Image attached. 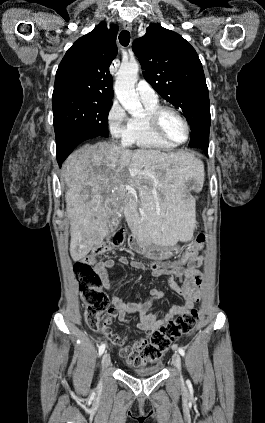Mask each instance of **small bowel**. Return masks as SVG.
I'll return each instance as SVG.
<instances>
[{
	"instance_id": "small-bowel-1",
	"label": "small bowel",
	"mask_w": 265,
	"mask_h": 423,
	"mask_svg": "<svg viewBox=\"0 0 265 423\" xmlns=\"http://www.w3.org/2000/svg\"><path fill=\"white\" fill-rule=\"evenodd\" d=\"M117 263L120 265L129 264L134 269H146L144 263L139 261L129 262L125 257L119 258ZM202 264L203 256L197 254L195 259L185 266H177L173 269H152L153 276H165L169 287L183 299L182 304L171 307L166 314L160 315L150 311L157 301L164 297L163 291L153 288L150 290V298L140 303L126 302L120 297L110 293L109 300L113 306V316L118 322L129 325L130 320L128 319V315H136L138 317V321L134 324L136 330L146 335L151 334L177 316L190 311L194 307V304L200 300L203 290V274L200 270ZM115 265L116 261L110 259L98 263L95 267L96 272L102 280L103 287L106 290L110 289L108 270ZM108 338L119 347L120 355L128 364L136 365L137 363L144 362L142 345L147 342L145 339L136 341L133 344H128L127 336L120 337L113 334Z\"/></svg>"
}]
</instances>
